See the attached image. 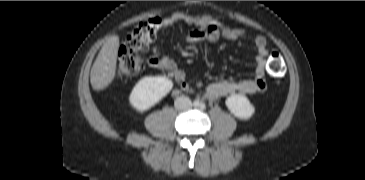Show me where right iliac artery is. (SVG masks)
Here are the masks:
<instances>
[{"instance_id":"82829eb1","label":"right iliac artery","mask_w":365,"mask_h":180,"mask_svg":"<svg viewBox=\"0 0 365 180\" xmlns=\"http://www.w3.org/2000/svg\"><path fill=\"white\" fill-rule=\"evenodd\" d=\"M193 105L196 107V106H199V101L198 100H195L194 102H193Z\"/></svg>"}]
</instances>
